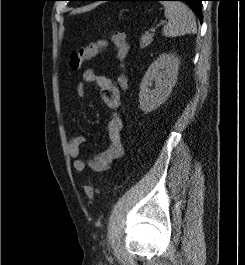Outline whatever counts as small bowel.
<instances>
[{"label":"small bowel","instance_id":"1","mask_svg":"<svg viewBox=\"0 0 245 265\" xmlns=\"http://www.w3.org/2000/svg\"><path fill=\"white\" fill-rule=\"evenodd\" d=\"M83 82L76 86V93L80 98L86 96L85 83L94 84L100 89L103 102L113 110L107 125V148L96 154L91 160L84 161L80 156V148L85 142L82 135H74L68 142V153L73 160V169L76 173H82L86 168L94 172H103L109 169L111 163L123 153L122 129L123 122L116 112L121 104V93L118 85L106 75L98 74L93 69H87L83 73Z\"/></svg>","mask_w":245,"mask_h":265}]
</instances>
